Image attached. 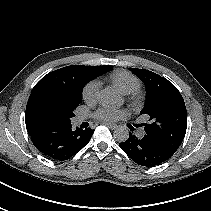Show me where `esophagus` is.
<instances>
[{"label": "esophagus", "mask_w": 211, "mask_h": 211, "mask_svg": "<svg viewBox=\"0 0 211 211\" xmlns=\"http://www.w3.org/2000/svg\"><path fill=\"white\" fill-rule=\"evenodd\" d=\"M104 125L108 126L110 129H116L117 125L114 123H110V122H104Z\"/></svg>", "instance_id": "esophagus-1"}]
</instances>
